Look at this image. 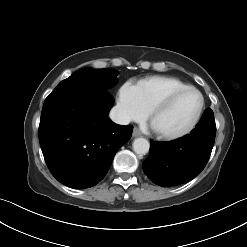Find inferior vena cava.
Returning <instances> with one entry per match:
<instances>
[{"instance_id":"1","label":"inferior vena cava","mask_w":247,"mask_h":247,"mask_svg":"<svg viewBox=\"0 0 247 247\" xmlns=\"http://www.w3.org/2000/svg\"><path fill=\"white\" fill-rule=\"evenodd\" d=\"M109 117L113 122L121 125H127L131 121L129 114L119 106H115L112 108Z\"/></svg>"}]
</instances>
